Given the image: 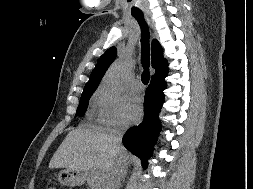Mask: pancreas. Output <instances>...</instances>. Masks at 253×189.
Returning a JSON list of instances; mask_svg holds the SVG:
<instances>
[{
  "mask_svg": "<svg viewBox=\"0 0 253 189\" xmlns=\"http://www.w3.org/2000/svg\"><path fill=\"white\" fill-rule=\"evenodd\" d=\"M86 181L90 189H103L104 187V175L98 171L89 172Z\"/></svg>",
  "mask_w": 253,
  "mask_h": 189,
  "instance_id": "1",
  "label": "pancreas"
}]
</instances>
